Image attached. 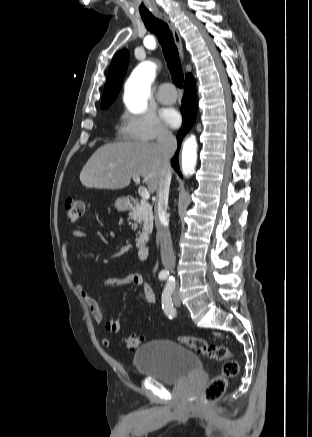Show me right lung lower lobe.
Masks as SVG:
<instances>
[{
	"label": "right lung lower lobe",
	"mask_w": 312,
	"mask_h": 437,
	"mask_svg": "<svg viewBox=\"0 0 312 437\" xmlns=\"http://www.w3.org/2000/svg\"><path fill=\"white\" fill-rule=\"evenodd\" d=\"M181 113L183 115V125L177 134L178 150L175 153L171 165L177 171V173L182 177L178 164L179 147L181 145L183 137L194 124L197 115L196 83L194 77L191 74H188L185 79L184 96L182 99Z\"/></svg>",
	"instance_id": "1"
}]
</instances>
